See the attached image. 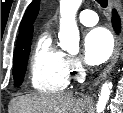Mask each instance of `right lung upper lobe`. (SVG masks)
Masks as SVG:
<instances>
[{
	"label": "right lung upper lobe",
	"instance_id": "right-lung-upper-lobe-1",
	"mask_svg": "<svg viewBox=\"0 0 123 113\" xmlns=\"http://www.w3.org/2000/svg\"><path fill=\"white\" fill-rule=\"evenodd\" d=\"M39 4L40 0H33L32 3L28 6L19 27L20 33L17 38L16 47L32 39L33 35L32 24L34 23L36 16L38 14Z\"/></svg>",
	"mask_w": 123,
	"mask_h": 113
}]
</instances>
